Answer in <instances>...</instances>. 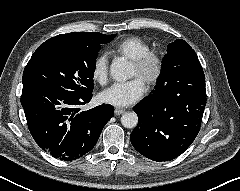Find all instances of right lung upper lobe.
<instances>
[{
  "mask_svg": "<svg viewBox=\"0 0 240 191\" xmlns=\"http://www.w3.org/2000/svg\"><path fill=\"white\" fill-rule=\"evenodd\" d=\"M115 35H105L98 32H74L55 36L49 40L77 45H95L111 41Z\"/></svg>",
  "mask_w": 240,
  "mask_h": 191,
  "instance_id": "1",
  "label": "right lung upper lobe"
}]
</instances>
